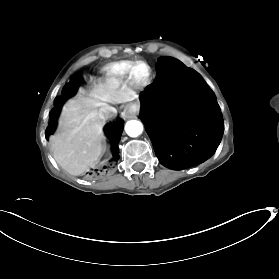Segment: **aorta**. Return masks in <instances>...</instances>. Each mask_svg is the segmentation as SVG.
Listing matches in <instances>:
<instances>
[{"label":"aorta","instance_id":"1","mask_svg":"<svg viewBox=\"0 0 279 279\" xmlns=\"http://www.w3.org/2000/svg\"><path fill=\"white\" fill-rule=\"evenodd\" d=\"M125 130L130 137H137L142 133L143 125L140 121L131 120L126 123Z\"/></svg>","mask_w":279,"mask_h":279}]
</instances>
